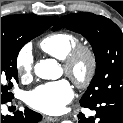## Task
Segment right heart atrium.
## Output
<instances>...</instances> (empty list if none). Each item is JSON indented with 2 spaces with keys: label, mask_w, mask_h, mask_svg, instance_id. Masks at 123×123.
<instances>
[{
  "label": "right heart atrium",
  "mask_w": 123,
  "mask_h": 123,
  "mask_svg": "<svg viewBox=\"0 0 123 123\" xmlns=\"http://www.w3.org/2000/svg\"><path fill=\"white\" fill-rule=\"evenodd\" d=\"M34 58L28 47L21 48L15 57V69L22 80H28L32 76Z\"/></svg>",
  "instance_id": "1"
}]
</instances>
